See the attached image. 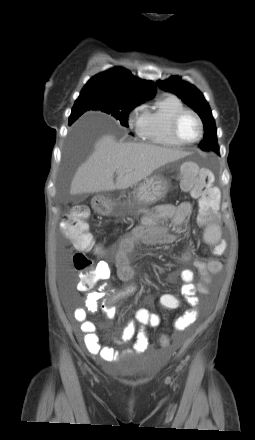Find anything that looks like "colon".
Instances as JSON below:
<instances>
[{"label": "colon", "instance_id": "5ec220e1", "mask_svg": "<svg viewBox=\"0 0 255 440\" xmlns=\"http://www.w3.org/2000/svg\"><path fill=\"white\" fill-rule=\"evenodd\" d=\"M213 173L208 168H200L195 164H185L180 173V186L189 191L191 196L198 200L199 211L202 217L208 218L218 210L219 193L212 187ZM89 209L83 205L72 207L61 222V230L65 237L76 249L72 261L76 271L81 273L78 283L80 290L90 288L96 281V267L86 255V251L94 246L93 235L89 230ZM163 311H178L181 303L179 298H160ZM159 345L162 352H169L172 340L167 334H159Z\"/></svg>", "mask_w": 255, "mask_h": 440}]
</instances>
